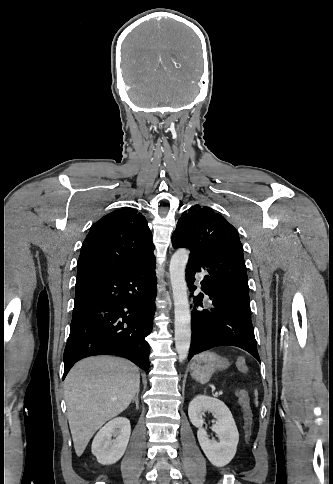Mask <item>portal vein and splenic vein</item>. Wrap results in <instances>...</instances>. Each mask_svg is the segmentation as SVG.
Returning a JSON list of instances; mask_svg holds the SVG:
<instances>
[{
    "label": "portal vein and splenic vein",
    "instance_id": "1",
    "mask_svg": "<svg viewBox=\"0 0 333 484\" xmlns=\"http://www.w3.org/2000/svg\"><path fill=\"white\" fill-rule=\"evenodd\" d=\"M223 394V391L222 390H219L216 392V395H222Z\"/></svg>",
    "mask_w": 333,
    "mask_h": 484
}]
</instances>
